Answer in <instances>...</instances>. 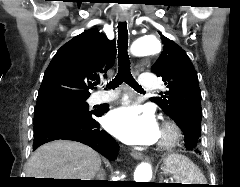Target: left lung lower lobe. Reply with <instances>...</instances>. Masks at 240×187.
<instances>
[{"label":"left lung lower lobe","mask_w":240,"mask_h":187,"mask_svg":"<svg viewBox=\"0 0 240 187\" xmlns=\"http://www.w3.org/2000/svg\"><path fill=\"white\" fill-rule=\"evenodd\" d=\"M185 135V146L188 150H193L199 152L198 149L193 148V145L196 143V135L193 131H183Z\"/></svg>","instance_id":"0a47b994"}]
</instances>
